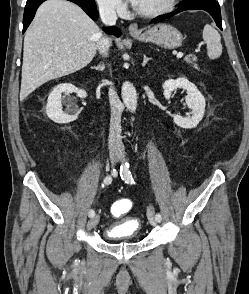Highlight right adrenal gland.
Wrapping results in <instances>:
<instances>
[{"label": "right adrenal gland", "mask_w": 249, "mask_h": 294, "mask_svg": "<svg viewBox=\"0 0 249 294\" xmlns=\"http://www.w3.org/2000/svg\"><path fill=\"white\" fill-rule=\"evenodd\" d=\"M104 68H105L104 63L99 64L97 67H95V66L92 67V69H96V70H99V71H103Z\"/></svg>", "instance_id": "right-adrenal-gland-1"}]
</instances>
